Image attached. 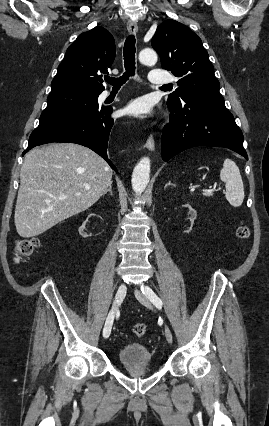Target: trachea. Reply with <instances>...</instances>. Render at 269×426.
<instances>
[{
  "label": "trachea",
  "mask_w": 269,
  "mask_h": 426,
  "mask_svg": "<svg viewBox=\"0 0 269 426\" xmlns=\"http://www.w3.org/2000/svg\"><path fill=\"white\" fill-rule=\"evenodd\" d=\"M135 52V37L130 35L127 37L123 49L125 73L119 78L105 77V81L113 88H120L130 76L135 74Z\"/></svg>",
  "instance_id": "obj_1"
}]
</instances>
